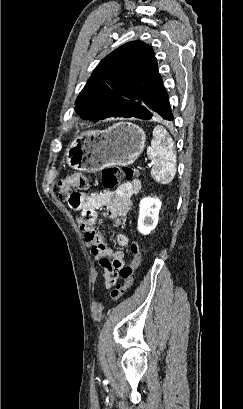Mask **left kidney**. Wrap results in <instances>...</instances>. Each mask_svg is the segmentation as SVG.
Masks as SVG:
<instances>
[{
  "label": "left kidney",
  "mask_w": 243,
  "mask_h": 409,
  "mask_svg": "<svg viewBox=\"0 0 243 409\" xmlns=\"http://www.w3.org/2000/svg\"><path fill=\"white\" fill-rule=\"evenodd\" d=\"M161 201L158 198L146 197L139 204L138 231L149 234L158 224Z\"/></svg>",
  "instance_id": "obj_1"
}]
</instances>
